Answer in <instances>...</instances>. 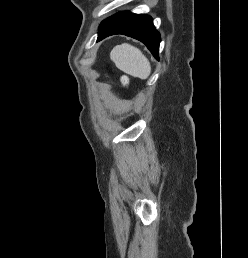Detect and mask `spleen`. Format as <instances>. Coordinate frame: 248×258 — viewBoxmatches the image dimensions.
Returning <instances> with one entry per match:
<instances>
[{
    "instance_id": "1",
    "label": "spleen",
    "mask_w": 248,
    "mask_h": 258,
    "mask_svg": "<svg viewBox=\"0 0 248 258\" xmlns=\"http://www.w3.org/2000/svg\"><path fill=\"white\" fill-rule=\"evenodd\" d=\"M110 58L118 69L133 77L147 79L151 73V65L146 56L128 43L115 46Z\"/></svg>"
}]
</instances>
